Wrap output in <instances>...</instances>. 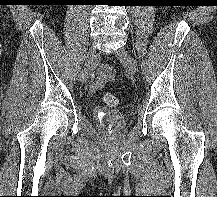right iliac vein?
<instances>
[{"label":"right iliac vein","mask_w":217,"mask_h":197,"mask_svg":"<svg viewBox=\"0 0 217 197\" xmlns=\"http://www.w3.org/2000/svg\"><path fill=\"white\" fill-rule=\"evenodd\" d=\"M95 61H96V49L94 47H91L87 53L85 64L79 78L81 83H84L87 80L90 72L94 68Z\"/></svg>","instance_id":"63e3f726"}]
</instances>
